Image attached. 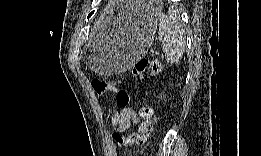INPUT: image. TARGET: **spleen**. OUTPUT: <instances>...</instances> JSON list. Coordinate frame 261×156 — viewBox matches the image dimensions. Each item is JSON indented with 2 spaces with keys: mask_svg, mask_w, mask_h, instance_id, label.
I'll list each match as a JSON object with an SVG mask.
<instances>
[{
  "mask_svg": "<svg viewBox=\"0 0 261 156\" xmlns=\"http://www.w3.org/2000/svg\"><path fill=\"white\" fill-rule=\"evenodd\" d=\"M158 39L162 42L167 62L176 64L185 52V37L180 16L173 7L169 9L168 15H159Z\"/></svg>",
  "mask_w": 261,
  "mask_h": 156,
  "instance_id": "3e777b00",
  "label": "spleen"
}]
</instances>
